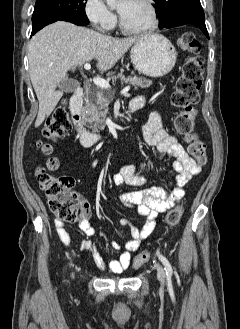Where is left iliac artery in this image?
Returning <instances> with one entry per match:
<instances>
[{
  "label": "left iliac artery",
  "mask_w": 240,
  "mask_h": 329,
  "mask_svg": "<svg viewBox=\"0 0 240 329\" xmlns=\"http://www.w3.org/2000/svg\"><path fill=\"white\" fill-rule=\"evenodd\" d=\"M159 259L161 260L162 264L165 267L166 275L171 276L173 273V269L168 259L163 255H159Z\"/></svg>",
  "instance_id": "obj_1"
}]
</instances>
